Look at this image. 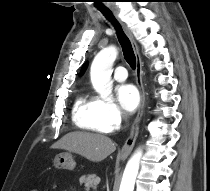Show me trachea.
I'll return each mask as SVG.
<instances>
[{
  "mask_svg": "<svg viewBox=\"0 0 210 191\" xmlns=\"http://www.w3.org/2000/svg\"><path fill=\"white\" fill-rule=\"evenodd\" d=\"M100 11L103 13V15L109 19L113 25L115 26L117 37L119 39V42L122 46L124 58L127 61V63L130 65L131 68L135 69L136 67V57L131 45V42L127 35L122 30L120 24L117 22L115 17L112 15L111 11L109 9H100Z\"/></svg>",
  "mask_w": 210,
  "mask_h": 191,
  "instance_id": "trachea-1",
  "label": "trachea"
}]
</instances>
